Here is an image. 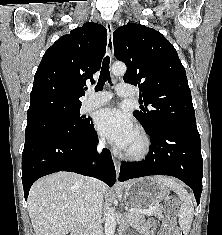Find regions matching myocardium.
Here are the masks:
<instances>
[{
    "instance_id": "myocardium-1",
    "label": "myocardium",
    "mask_w": 222,
    "mask_h": 235,
    "mask_svg": "<svg viewBox=\"0 0 222 235\" xmlns=\"http://www.w3.org/2000/svg\"><path fill=\"white\" fill-rule=\"evenodd\" d=\"M136 133L141 139V145L134 150H125L123 156L131 161H140L146 158L152 149V140L147 131L142 127L136 128Z\"/></svg>"
}]
</instances>
